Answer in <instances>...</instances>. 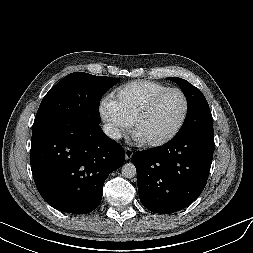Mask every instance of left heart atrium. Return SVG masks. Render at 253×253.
Wrapping results in <instances>:
<instances>
[{"label":"left heart atrium","mask_w":253,"mask_h":253,"mask_svg":"<svg viewBox=\"0 0 253 253\" xmlns=\"http://www.w3.org/2000/svg\"><path fill=\"white\" fill-rule=\"evenodd\" d=\"M135 140L137 141V142H139V143H143V139L141 138V137H139L137 134L135 135Z\"/></svg>","instance_id":"obj_1"}]
</instances>
